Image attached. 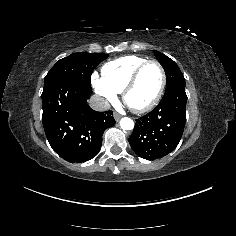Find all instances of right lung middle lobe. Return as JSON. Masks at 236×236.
Masks as SVG:
<instances>
[{
    "instance_id": "1",
    "label": "right lung middle lobe",
    "mask_w": 236,
    "mask_h": 236,
    "mask_svg": "<svg viewBox=\"0 0 236 236\" xmlns=\"http://www.w3.org/2000/svg\"><path fill=\"white\" fill-rule=\"evenodd\" d=\"M107 57V54L80 52L60 59L46 75L44 88L57 81L67 80L91 89V74L95 67Z\"/></svg>"
}]
</instances>
